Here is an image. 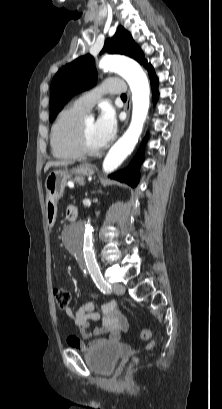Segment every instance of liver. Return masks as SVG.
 <instances>
[{
    "mask_svg": "<svg viewBox=\"0 0 222 409\" xmlns=\"http://www.w3.org/2000/svg\"><path fill=\"white\" fill-rule=\"evenodd\" d=\"M68 164H70V162L68 161H49L45 165L44 172H47L49 168L52 166L59 167V166H67Z\"/></svg>",
    "mask_w": 222,
    "mask_h": 409,
    "instance_id": "liver-1",
    "label": "liver"
}]
</instances>
